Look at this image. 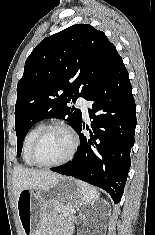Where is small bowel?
I'll use <instances>...</instances> for the list:
<instances>
[{
    "instance_id": "obj_1",
    "label": "small bowel",
    "mask_w": 155,
    "mask_h": 235,
    "mask_svg": "<svg viewBox=\"0 0 155 235\" xmlns=\"http://www.w3.org/2000/svg\"><path fill=\"white\" fill-rule=\"evenodd\" d=\"M48 235H70L69 229L50 230Z\"/></svg>"
}]
</instances>
